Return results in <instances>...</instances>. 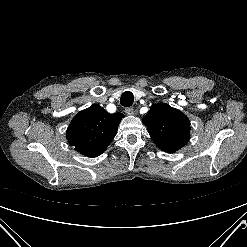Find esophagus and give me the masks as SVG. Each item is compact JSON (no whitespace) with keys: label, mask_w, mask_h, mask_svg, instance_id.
Returning <instances> with one entry per match:
<instances>
[{"label":"esophagus","mask_w":247,"mask_h":247,"mask_svg":"<svg viewBox=\"0 0 247 247\" xmlns=\"http://www.w3.org/2000/svg\"><path fill=\"white\" fill-rule=\"evenodd\" d=\"M125 113L127 115H133L134 114V109L131 108V107H128V108L125 109Z\"/></svg>","instance_id":"obj_1"}]
</instances>
